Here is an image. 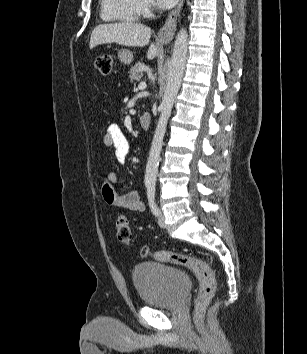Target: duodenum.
<instances>
[{"mask_svg":"<svg viewBox=\"0 0 307 354\" xmlns=\"http://www.w3.org/2000/svg\"><path fill=\"white\" fill-rule=\"evenodd\" d=\"M151 120H152L151 114L143 113L139 119L140 126L143 129H148L151 125Z\"/></svg>","mask_w":307,"mask_h":354,"instance_id":"duodenum-1","label":"duodenum"}]
</instances>
